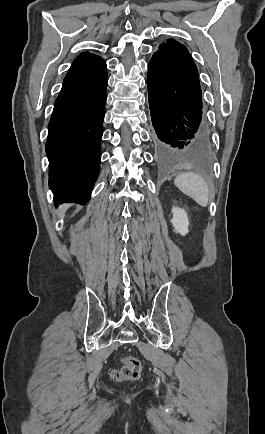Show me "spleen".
Wrapping results in <instances>:
<instances>
[{"label":"spleen","mask_w":265,"mask_h":434,"mask_svg":"<svg viewBox=\"0 0 265 434\" xmlns=\"http://www.w3.org/2000/svg\"><path fill=\"white\" fill-rule=\"evenodd\" d=\"M174 184L183 194H186L189 198H193L199 206H208V184L198 174H194V172L180 174V176L175 178Z\"/></svg>","instance_id":"spleen-1"}]
</instances>
